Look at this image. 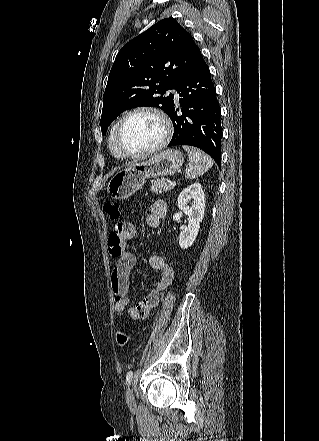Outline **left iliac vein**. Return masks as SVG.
Here are the masks:
<instances>
[{
  "label": "left iliac vein",
  "mask_w": 319,
  "mask_h": 441,
  "mask_svg": "<svg viewBox=\"0 0 319 441\" xmlns=\"http://www.w3.org/2000/svg\"><path fill=\"white\" fill-rule=\"evenodd\" d=\"M126 402L130 410L134 411L136 409V401L133 390L129 387L126 392Z\"/></svg>",
  "instance_id": "left-iliac-vein-1"
}]
</instances>
